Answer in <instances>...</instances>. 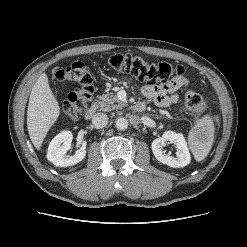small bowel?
<instances>
[{
	"mask_svg": "<svg viewBox=\"0 0 247 247\" xmlns=\"http://www.w3.org/2000/svg\"><path fill=\"white\" fill-rule=\"evenodd\" d=\"M188 86V80L183 76H177L165 83L143 86L142 93L157 107L164 108L175 104L179 99V92Z\"/></svg>",
	"mask_w": 247,
	"mask_h": 247,
	"instance_id": "obj_1",
	"label": "small bowel"
}]
</instances>
